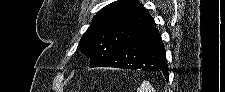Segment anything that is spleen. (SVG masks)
Returning a JSON list of instances; mask_svg holds the SVG:
<instances>
[{
    "mask_svg": "<svg viewBox=\"0 0 225 92\" xmlns=\"http://www.w3.org/2000/svg\"><path fill=\"white\" fill-rule=\"evenodd\" d=\"M137 92H155V89L152 87L149 81H144L137 89Z\"/></svg>",
    "mask_w": 225,
    "mask_h": 92,
    "instance_id": "1",
    "label": "spleen"
}]
</instances>
